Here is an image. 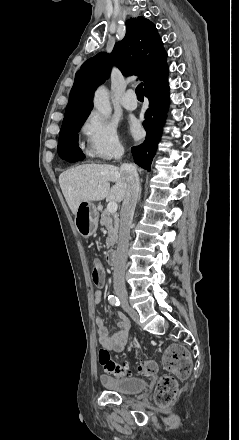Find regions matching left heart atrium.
<instances>
[{"label": "left heart atrium", "instance_id": "39dd6f15", "mask_svg": "<svg viewBox=\"0 0 239 440\" xmlns=\"http://www.w3.org/2000/svg\"><path fill=\"white\" fill-rule=\"evenodd\" d=\"M131 133L136 136L140 132V125L137 121H131L130 124Z\"/></svg>", "mask_w": 239, "mask_h": 440}]
</instances>
